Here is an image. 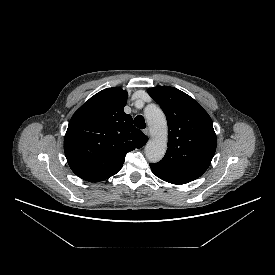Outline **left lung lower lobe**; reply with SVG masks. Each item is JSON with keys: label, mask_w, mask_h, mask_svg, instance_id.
<instances>
[{"label": "left lung lower lobe", "mask_w": 275, "mask_h": 275, "mask_svg": "<svg viewBox=\"0 0 275 275\" xmlns=\"http://www.w3.org/2000/svg\"><path fill=\"white\" fill-rule=\"evenodd\" d=\"M150 167H151L152 172L158 178H160L166 182L180 185V184H185V183H188L191 181L185 177H182V176L176 175L174 173L168 172L166 170H163V169L155 166L154 164H150Z\"/></svg>", "instance_id": "1"}]
</instances>
